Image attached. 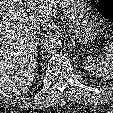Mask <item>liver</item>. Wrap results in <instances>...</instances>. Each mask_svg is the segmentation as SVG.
<instances>
[{
    "label": "liver",
    "mask_w": 113,
    "mask_h": 113,
    "mask_svg": "<svg viewBox=\"0 0 113 113\" xmlns=\"http://www.w3.org/2000/svg\"><path fill=\"white\" fill-rule=\"evenodd\" d=\"M60 0H0V88L12 96L30 90L38 34L50 27Z\"/></svg>",
    "instance_id": "6515ba94"
}]
</instances>
